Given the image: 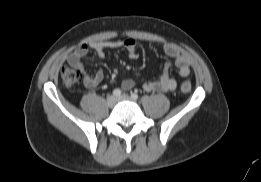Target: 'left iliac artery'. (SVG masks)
Here are the masks:
<instances>
[{
    "label": "left iliac artery",
    "mask_w": 261,
    "mask_h": 182,
    "mask_svg": "<svg viewBox=\"0 0 261 182\" xmlns=\"http://www.w3.org/2000/svg\"><path fill=\"white\" fill-rule=\"evenodd\" d=\"M131 98H132L133 100H137V99H138V94L132 93V94H131Z\"/></svg>",
    "instance_id": "obj_1"
}]
</instances>
